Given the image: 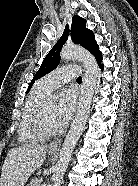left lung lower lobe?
<instances>
[{"label": "left lung lower lobe", "mask_w": 138, "mask_h": 186, "mask_svg": "<svg viewBox=\"0 0 138 186\" xmlns=\"http://www.w3.org/2000/svg\"><path fill=\"white\" fill-rule=\"evenodd\" d=\"M101 69H103V65H100Z\"/></svg>", "instance_id": "obj_1"}]
</instances>
